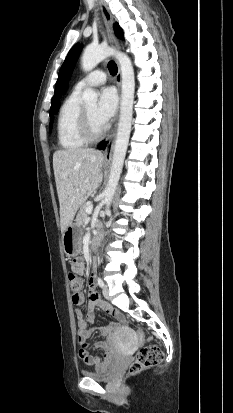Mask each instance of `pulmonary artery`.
I'll return each instance as SVG.
<instances>
[{
	"label": "pulmonary artery",
	"instance_id": "obj_1",
	"mask_svg": "<svg viewBox=\"0 0 233 413\" xmlns=\"http://www.w3.org/2000/svg\"><path fill=\"white\" fill-rule=\"evenodd\" d=\"M106 81V73L101 69H97L81 78L75 85V89L82 90L86 86L101 85Z\"/></svg>",
	"mask_w": 233,
	"mask_h": 413
}]
</instances>
